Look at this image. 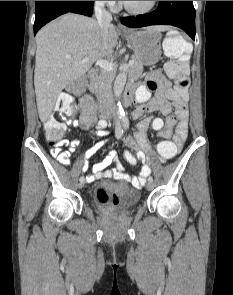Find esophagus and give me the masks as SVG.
<instances>
[{
	"label": "esophagus",
	"instance_id": "esophagus-1",
	"mask_svg": "<svg viewBox=\"0 0 233 295\" xmlns=\"http://www.w3.org/2000/svg\"><path fill=\"white\" fill-rule=\"evenodd\" d=\"M117 29H118V31H121V32H128L129 31V29L121 23L118 24Z\"/></svg>",
	"mask_w": 233,
	"mask_h": 295
}]
</instances>
